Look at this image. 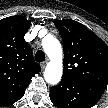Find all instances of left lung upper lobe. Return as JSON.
<instances>
[{"label": "left lung upper lobe", "instance_id": "5c2ea615", "mask_svg": "<svg viewBox=\"0 0 108 108\" xmlns=\"http://www.w3.org/2000/svg\"><path fill=\"white\" fill-rule=\"evenodd\" d=\"M54 24L63 39V79L107 86V45L77 21L55 20Z\"/></svg>", "mask_w": 108, "mask_h": 108}]
</instances>
